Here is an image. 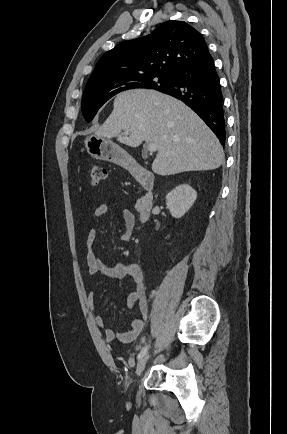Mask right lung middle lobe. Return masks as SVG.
Listing matches in <instances>:
<instances>
[{"instance_id": "dd1d6c3e", "label": "right lung middle lobe", "mask_w": 287, "mask_h": 434, "mask_svg": "<svg viewBox=\"0 0 287 434\" xmlns=\"http://www.w3.org/2000/svg\"><path fill=\"white\" fill-rule=\"evenodd\" d=\"M175 77L147 74L136 77H120L94 80L86 84L82 97V113L87 122L96 115L99 108L119 92L134 88L162 90L171 87Z\"/></svg>"}]
</instances>
